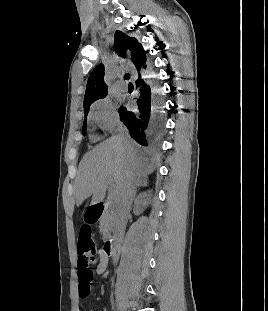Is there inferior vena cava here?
<instances>
[{
  "mask_svg": "<svg viewBox=\"0 0 268 311\" xmlns=\"http://www.w3.org/2000/svg\"><path fill=\"white\" fill-rule=\"evenodd\" d=\"M120 136L125 137L124 133ZM136 182L127 179L122 186L118 196V205L115 213V245L120 246L123 241L124 231L127 223V217L130 212V206L135 195ZM119 253H114L113 261L117 263Z\"/></svg>",
  "mask_w": 268,
  "mask_h": 311,
  "instance_id": "inferior-vena-cava-1",
  "label": "inferior vena cava"
}]
</instances>
